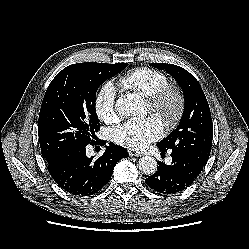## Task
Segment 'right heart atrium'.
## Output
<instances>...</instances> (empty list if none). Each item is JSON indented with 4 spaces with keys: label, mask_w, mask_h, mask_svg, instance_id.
Wrapping results in <instances>:
<instances>
[{
    "label": "right heart atrium",
    "mask_w": 249,
    "mask_h": 249,
    "mask_svg": "<svg viewBox=\"0 0 249 249\" xmlns=\"http://www.w3.org/2000/svg\"><path fill=\"white\" fill-rule=\"evenodd\" d=\"M94 109L97 117L105 123H114L118 119L116 108V89L111 82H107L98 90Z\"/></svg>",
    "instance_id": "1"
}]
</instances>
